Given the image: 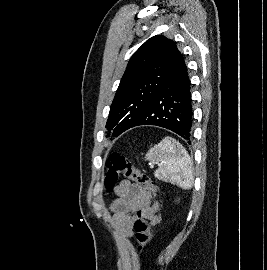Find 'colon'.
I'll list each match as a JSON object with an SVG mask.
<instances>
[{
	"label": "colon",
	"instance_id": "5ec220e1",
	"mask_svg": "<svg viewBox=\"0 0 267 270\" xmlns=\"http://www.w3.org/2000/svg\"><path fill=\"white\" fill-rule=\"evenodd\" d=\"M106 166L105 186L107 189H112L120 179H124L144 188L154 198H157L158 188L146 174L136 169L126 156L120 153H112L107 159ZM134 228L138 251H142L152 240L151 225L145 218L139 217Z\"/></svg>",
	"mask_w": 267,
	"mask_h": 270
}]
</instances>
